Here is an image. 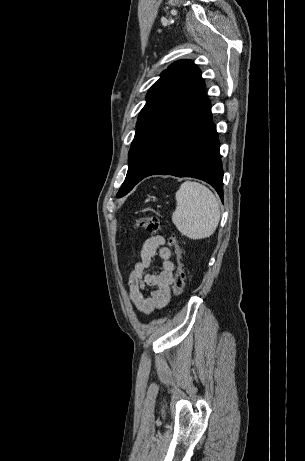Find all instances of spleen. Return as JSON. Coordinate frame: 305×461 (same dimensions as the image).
I'll return each instance as SVG.
<instances>
[{
  "mask_svg": "<svg viewBox=\"0 0 305 461\" xmlns=\"http://www.w3.org/2000/svg\"><path fill=\"white\" fill-rule=\"evenodd\" d=\"M175 199L172 222L184 236L198 240L215 232L221 213L219 201L211 190L198 182L186 181Z\"/></svg>",
  "mask_w": 305,
  "mask_h": 461,
  "instance_id": "1",
  "label": "spleen"
}]
</instances>
